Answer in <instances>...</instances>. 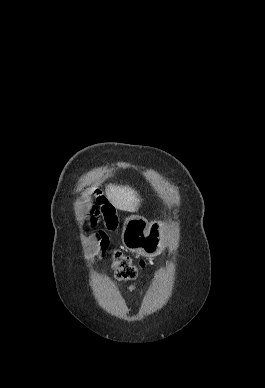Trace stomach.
<instances>
[{
	"mask_svg": "<svg viewBox=\"0 0 265 388\" xmlns=\"http://www.w3.org/2000/svg\"><path fill=\"white\" fill-rule=\"evenodd\" d=\"M166 233L160 221L148 223L144 217L131 216L125 220L122 242L130 251L153 257L161 252Z\"/></svg>",
	"mask_w": 265,
	"mask_h": 388,
	"instance_id": "stomach-1",
	"label": "stomach"
}]
</instances>
